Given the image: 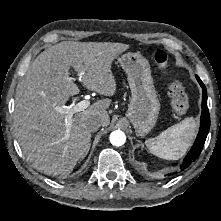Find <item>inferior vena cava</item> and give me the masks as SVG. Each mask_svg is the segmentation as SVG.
Returning <instances> with one entry per match:
<instances>
[{
    "instance_id": "602c4592",
    "label": "inferior vena cava",
    "mask_w": 221,
    "mask_h": 221,
    "mask_svg": "<svg viewBox=\"0 0 221 221\" xmlns=\"http://www.w3.org/2000/svg\"><path fill=\"white\" fill-rule=\"evenodd\" d=\"M102 125V120L99 117H92L87 122V128L90 132L97 131Z\"/></svg>"
}]
</instances>
